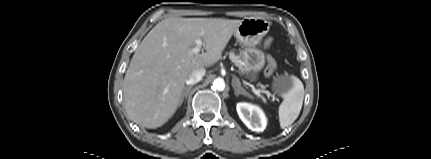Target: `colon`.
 I'll return each instance as SVG.
<instances>
[{
  "label": "colon",
  "mask_w": 431,
  "mask_h": 159,
  "mask_svg": "<svg viewBox=\"0 0 431 159\" xmlns=\"http://www.w3.org/2000/svg\"><path fill=\"white\" fill-rule=\"evenodd\" d=\"M272 42H273V39L271 37H268L265 40V42H264V46L266 48H268V47L271 46ZM275 68H276V61H275V59L272 56H268L267 57V66H266V69H265V75L267 77H271L273 75L274 71H275Z\"/></svg>",
  "instance_id": "obj_1"
}]
</instances>
